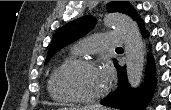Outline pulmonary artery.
Masks as SVG:
<instances>
[{
  "mask_svg": "<svg viewBox=\"0 0 171 110\" xmlns=\"http://www.w3.org/2000/svg\"><path fill=\"white\" fill-rule=\"evenodd\" d=\"M122 37L117 32L101 33L78 41L73 51L76 53H93L108 47H117Z\"/></svg>",
  "mask_w": 171,
  "mask_h": 110,
  "instance_id": "1",
  "label": "pulmonary artery"
}]
</instances>
